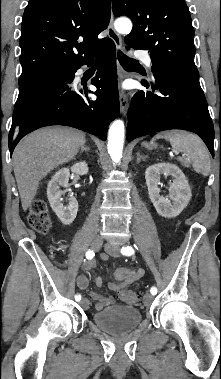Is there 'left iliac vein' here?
I'll list each match as a JSON object with an SVG mask.
<instances>
[{
    "mask_svg": "<svg viewBox=\"0 0 221 379\" xmlns=\"http://www.w3.org/2000/svg\"><path fill=\"white\" fill-rule=\"evenodd\" d=\"M120 243H117V242H109V243H106L105 244V251L111 255V256H114V257H117L120 255ZM153 295L150 294V293H147L145 294L144 296V303L146 306H149L151 305V303L153 302Z\"/></svg>",
    "mask_w": 221,
    "mask_h": 379,
    "instance_id": "left-iliac-vein-1",
    "label": "left iliac vein"
}]
</instances>
